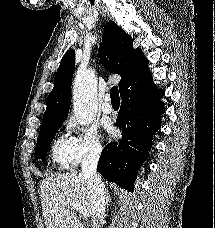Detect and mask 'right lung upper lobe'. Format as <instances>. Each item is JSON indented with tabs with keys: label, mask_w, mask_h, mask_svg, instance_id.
Returning a JSON list of instances; mask_svg holds the SVG:
<instances>
[{
	"label": "right lung upper lobe",
	"mask_w": 215,
	"mask_h": 228,
	"mask_svg": "<svg viewBox=\"0 0 215 228\" xmlns=\"http://www.w3.org/2000/svg\"><path fill=\"white\" fill-rule=\"evenodd\" d=\"M111 55L108 61L105 55ZM100 60L111 73L119 74L120 94L130 80L149 75L148 60L140 48L133 49L132 38L113 21L106 24L103 43L99 50ZM75 66L74 50H69L62 58L57 70L54 88L47 98V108L42 125L64 122L70 107L71 82Z\"/></svg>",
	"instance_id": "obj_1"
}]
</instances>
